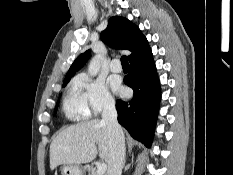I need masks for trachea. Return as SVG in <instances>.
<instances>
[{
  "mask_svg": "<svg viewBox=\"0 0 233 175\" xmlns=\"http://www.w3.org/2000/svg\"><path fill=\"white\" fill-rule=\"evenodd\" d=\"M121 64H122L123 67H129L127 56H122L121 57Z\"/></svg>",
  "mask_w": 233,
  "mask_h": 175,
  "instance_id": "obj_1",
  "label": "trachea"
}]
</instances>
